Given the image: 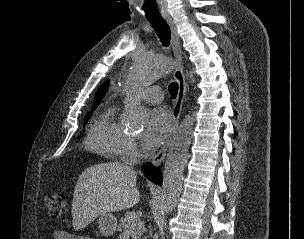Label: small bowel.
Listing matches in <instances>:
<instances>
[{
  "label": "small bowel",
  "mask_w": 304,
  "mask_h": 239,
  "mask_svg": "<svg viewBox=\"0 0 304 239\" xmlns=\"http://www.w3.org/2000/svg\"><path fill=\"white\" fill-rule=\"evenodd\" d=\"M54 239H75V235L64 230H56L53 233Z\"/></svg>",
  "instance_id": "obj_1"
}]
</instances>
